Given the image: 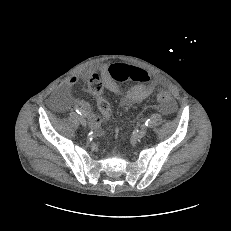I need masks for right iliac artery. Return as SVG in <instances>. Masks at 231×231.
<instances>
[{
  "label": "right iliac artery",
  "instance_id": "82829eb1",
  "mask_svg": "<svg viewBox=\"0 0 231 231\" xmlns=\"http://www.w3.org/2000/svg\"><path fill=\"white\" fill-rule=\"evenodd\" d=\"M76 110V112L78 113V114H80V115H83V116H86V113L84 112V110H82L81 108H75Z\"/></svg>",
  "mask_w": 231,
  "mask_h": 231
}]
</instances>
